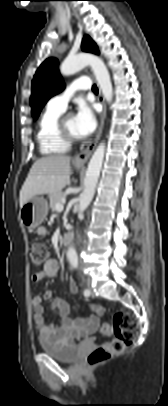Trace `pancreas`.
<instances>
[{"label":"pancreas","mask_w":168,"mask_h":406,"mask_svg":"<svg viewBox=\"0 0 168 406\" xmlns=\"http://www.w3.org/2000/svg\"><path fill=\"white\" fill-rule=\"evenodd\" d=\"M65 200V196L63 192H58L52 196H50V208L54 212L56 210V204L62 203Z\"/></svg>","instance_id":"1"}]
</instances>
